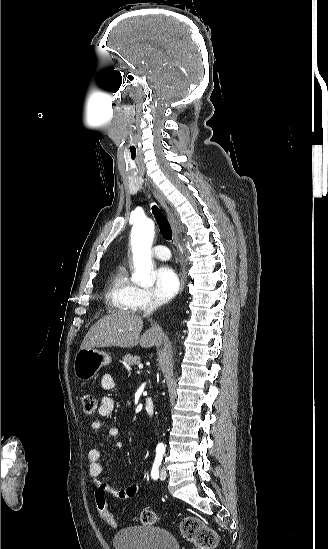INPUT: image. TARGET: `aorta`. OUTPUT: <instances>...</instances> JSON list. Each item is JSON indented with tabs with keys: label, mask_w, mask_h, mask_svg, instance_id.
Listing matches in <instances>:
<instances>
[{
	"label": "aorta",
	"mask_w": 328,
	"mask_h": 549,
	"mask_svg": "<svg viewBox=\"0 0 328 549\" xmlns=\"http://www.w3.org/2000/svg\"><path fill=\"white\" fill-rule=\"evenodd\" d=\"M154 222L141 219L134 223L131 231V246L135 272L132 280L141 286L154 284L153 267L151 260V246L154 238ZM157 450H165L163 443H158Z\"/></svg>",
	"instance_id": "762f6f07"
}]
</instances>
